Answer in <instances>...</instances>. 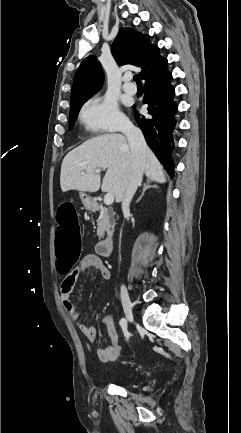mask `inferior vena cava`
Segmentation results:
<instances>
[{"label": "inferior vena cava", "instance_id": "obj_1", "mask_svg": "<svg viewBox=\"0 0 241 433\" xmlns=\"http://www.w3.org/2000/svg\"><path fill=\"white\" fill-rule=\"evenodd\" d=\"M131 150V171L128 185L122 199V211L127 212L131 200L142 182L145 164L146 142L141 130L131 122H127L122 129Z\"/></svg>", "mask_w": 241, "mask_h": 433}]
</instances>
